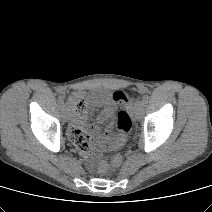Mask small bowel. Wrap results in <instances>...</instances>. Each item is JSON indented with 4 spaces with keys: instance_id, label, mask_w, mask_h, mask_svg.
Returning a JSON list of instances; mask_svg holds the SVG:
<instances>
[{
    "instance_id": "1",
    "label": "small bowel",
    "mask_w": 212,
    "mask_h": 212,
    "mask_svg": "<svg viewBox=\"0 0 212 212\" xmlns=\"http://www.w3.org/2000/svg\"><path fill=\"white\" fill-rule=\"evenodd\" d=\"M85 101L86 99L83 95H79ZM90 102L95 106H101V110L97 115V122L102 123L113 116L114 105L109 100L107 93L102 91L93 92L89 96ZM111 124L106 126L103 135L96 137L93 140L92 136L97 134L98 128L95 124H89L87 121L86 110L83 113H75L72 119V125L69 129V137L75 143H79L84 146L81 149L84 153H91L93 147L98 149H113L120 145L118 137H115L111 133Z\"/></svg>"
}]
</instances>
